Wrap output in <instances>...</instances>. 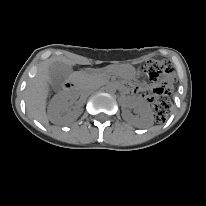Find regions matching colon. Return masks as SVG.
Masks as SVG:
<instances>
[{"label": "colon", "instance_id": "colon-1", "mask_svg": "<svg viewBox=\"0 0 206 206\" xmlns=\"http://www.w3.org/2000/svg\"><path fill=\"white\" fill-rule=\"evenodd\" d=\"M142 71L150 81L160 83L152 95V111L156 121L162 122L170 110L169 96L174 82L173 67L169 61L150 60L143 65Z\"/></svg>", "mask_w": 206, "mask_h": 206}]
</instances>
